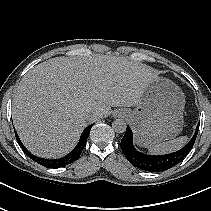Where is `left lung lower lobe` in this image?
Here are the masks:
<instances>
[{"instance_id":"obj_1","label":"left lung lower lobe","mask_w":211,"mask_h":211,"mask_svg":"<svg viewBox=\"0 0 211 211\" xmlns=\"http://www.w3.org/2000/svg\"><path fill=\"white\" fill-rule=\"evenodd\" d=\"M199 130V124L189 143L182 149L166 155H146L138 152L132 142V131L127 126L126 133L121 140V149L128 161L135 167L151 172L165 171L181 162L191 151Z\"/></svg>"}]
</instances>
